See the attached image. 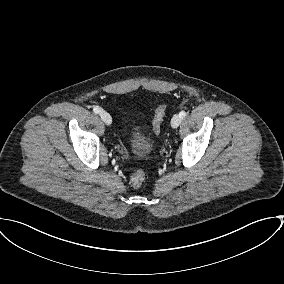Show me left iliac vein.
<instances>
[{
  "mask_svg": "<svg viewBox=\"0 0 284 284\" xmlns=\"http://www.w3.org/2000/svg\"><path fill=\"white\" fill-rule=\"evenodd\" d=\"M182 121V118L179 114H175L171 119V126L172 128H177Z\"/></svg>",
  "mask_w": 284,
  "mask_h": 284,
  "instance_id": "obj_1",
  "label": "left iliac vein"
}]
</instances>
